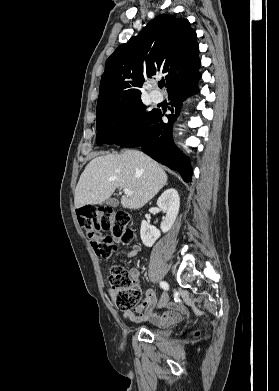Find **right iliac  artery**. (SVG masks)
<instances>
[{"instance_id":"1","label":"right iliac artery","mask_w":279,"mask_h":391,"mask_svg":"<svg viewBox=\"0 0 279 391\" xmlns=\"http://www.w3.org/2000/svg\"><path fill=\"white\" fill-rule=\"evenodd\" d=\"M160 286H161L164 290H168V289H169L168 283H166V282H164V281H161V282H160Z\"/></svg>"}]
</instances>
